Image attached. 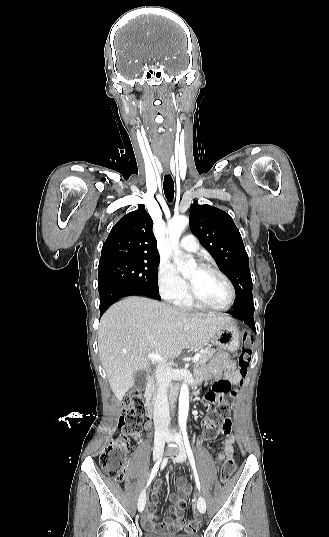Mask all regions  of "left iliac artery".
<instances>
[{"label":"left iliac artery","instance_id":"obj_1","mask_svg":"<svg viewBox=\"0 0 329 537\" xmlns=\"http://www.w3.org/2000/svg\"><path fill=\"white\" fill-rule=\"evenodd\" d=\"M182 434H183V439H184L185 448L188 454V458H189V461H190V464L194 473L196 486L198 490L200 491L201 485H200L199 476H198L196 465H195V459H194L193 452L189 443L188 434L185 428L182 429Z\"/></svg>","mask_w":329,"mask_h":537}]
</instances>
